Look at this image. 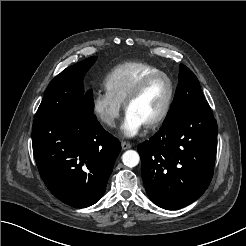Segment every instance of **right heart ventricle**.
<instances>
[{
    "label": "right heart ventricle",
    "mask_w": 246,
    "mask_h": 246,
    "mask_svg": "<svg viewBox=\"0 0 246 246\" xmlns=\"http://www.w3.org/2000/svg\"><path fill=\"white\" fill-rule=\"evenodd\" d=\"M160 71L154 65L145 62H124L115 66L105 77L106 91L123 104L136 84L148 74Z\"/></svg>",
    "instance_id": "e07e8e85"
}]
</instances>
